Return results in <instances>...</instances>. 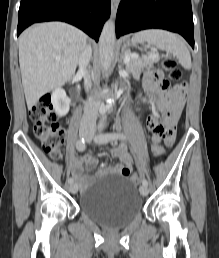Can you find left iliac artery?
Wrapping results in <instances>:
<instances>
[{"mask_svg": "<svg viewBox=\"0 0 219 258\" xmlns=\"http://www.w3.org/2000/svg\"><path fill=\"white\" fill-rule=\"evenodd\" d=\"M102 128L100 129V133L95 137V142L98 144H104L111 140L115 139H125V135L118 133H102ZM142 184L148 186V181L146 179L142 180Z\"/></svg>", "mask_w": 219, "mask_h": 258, "instance_id": "1", "label": "left iliac artery"}]
</instances>
